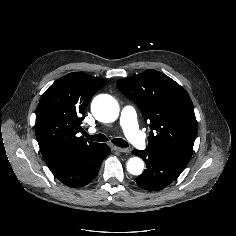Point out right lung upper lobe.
<instances>
[{
  "mask_svg": "<svg viewBox=\"0 0 236 236\" xmlns=\"http://www.w3.org/2000/svg\"><path fill=\"white\" fill-rule=\"evenodd\" d=\"M106 81L81 72L55 81L42 95L36 109L35 133L42 156L53 167L67 152L95 144L78 133L85 108Z\"/></svg>",
  "mask_w": 236,
  "mask_h": 236,
  "instance_id": "obj_1",
  "label": "right lung upper lobe"
}]
</instances>
